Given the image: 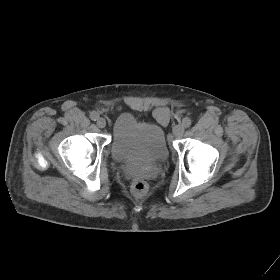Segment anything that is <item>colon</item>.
Listing matches in <instances>:
<instances>
[{
    "instance_id": "1",
    "label": "colon",
    "mask_w": 280,
    "mask_h": 280,
    "mask_svg": "<svg viewBox=\"0 0 280 280\" xmlns=\"http://www.w3.org/2000/svg\"><path fill=\"white\" fill-rule=\"evenodd\" d=\"M148 190L147 183L142 179H137L132 184V192L136 196H143Z\"/></svg>"
}]
</instances>
